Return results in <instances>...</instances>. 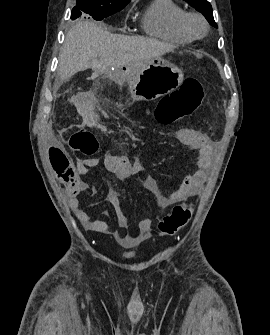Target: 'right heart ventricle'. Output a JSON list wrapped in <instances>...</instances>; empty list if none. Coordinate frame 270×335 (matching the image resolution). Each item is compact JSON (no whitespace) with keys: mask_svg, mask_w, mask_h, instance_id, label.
I'll use <instances>...</instances> for the list:
<instances>
[{"mask_svg":"<svg viewBox=\"0 0 270 335\" xmlns=\"http://www.w3.org/2000/svg\"><path fill=\"white\" fill-rule=\"evenodd\" d=\"M184 14V8L173 0H154L141 16V27L149 36L177 45L189 44L193 38L181 27Z\"/></svg>","mask_w":270,"mask_h":335,"instance_id":"1","label":"right heart ventricle"}]
</instances>
